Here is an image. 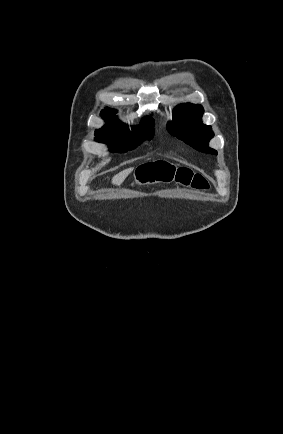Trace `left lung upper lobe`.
<instances>
[{
	"mask_svg": "<svg viewBox=\"0 0 283 434\" xmlns=\"http://www.w3.org/2000/svg\"><path fill=\"white\" fill-rule=\"evenodd\" d=\"M203 107L197 104H181L174 109V118L169 122V133L189 144L198 151L210 154L217 152L209 148L208 142L214 133L210 126L202 123Z\"/></svg>",
	"mask_w": 283,
	"mask_h": 434,
	"instance_id": "obj_1",
	"label": "left lung upper lobe"
}]
</instances>
